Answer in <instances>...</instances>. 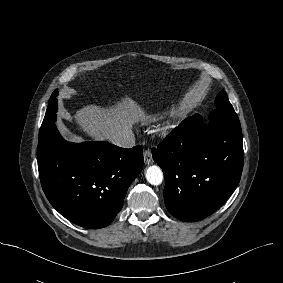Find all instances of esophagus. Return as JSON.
<instances>
[{
  "instance_id": "esophagus-1",
  "label": "esophagus",
  "mask_w": 283,
  "mask_h": 283,
  "mask_svg": "<svg viewBox=\"0 0 283 283\" xmlns=\"http://www.w3.org/2000/svg\"><path fill=\"white\" fill-rule=\"evenodd\" d=\"M144 163L146 165H149V164L153 163L152 152L150 150H145L144 151Z\"/></svg>"
}]
</instances>
